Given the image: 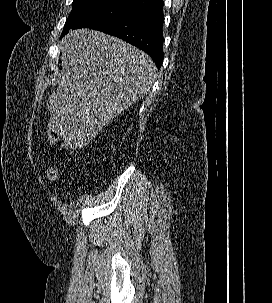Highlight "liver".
<instances>
[{
  "label": "liver",
  "mask_w": 272,
  "mask_h": 303,
  "mask_svg": "<svg viewBox=\"0 0 272 303\" xmlns=\"http://www.w3.org/2000/svg\"><path fill=\"white\" fill-rule=\"evenodd\" d=\"M61 53L63 76L47 108L67 149L86 146L144 97L156 78L155 64L146 53L99 31L69 32L61 41Z\"/></svg>",
  "instance_id": "1"
}]
</instances>
